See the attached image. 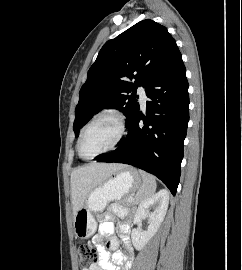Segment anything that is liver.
<instances>
[{"label": "liver", "mask_w": 242, "mask_h": 270, "mask_svg": "<svg viewBox=\"0 0 242 270\" xmlns=\"http://www.w3.org/2000/svg\"><path fill=\"white\" fill-rule=\"evenodd\" d=\"M125 167L123 164L115 163H91L73 170L71 173V197L74 216L83 207L90 191Z\"/></svg>", "instance_id": "liver-1"}]
</instances>
